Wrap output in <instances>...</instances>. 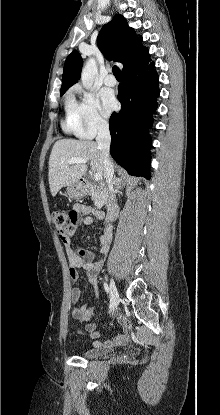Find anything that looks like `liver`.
<instances>
[{
  "instance_id": "6515ba94",
  "label": "liver",
  "mask_w": 220,
  "mask_h": 415,
  "mask_svg": "<svg viewBox=\"0 0 220 415\" xmlns=\"http://www.w3.org/2000/svg\"><path fill=\"white\" fill-rule=\"evenodd\" d=\"M71 158L90 161L92 172L104 175L102 152L94 141L61 139L53 145L49 158V187L52 196L64 187L79 182L87 172L85 164H69Z\"/></svg>"
}]
</instances>
